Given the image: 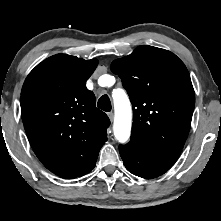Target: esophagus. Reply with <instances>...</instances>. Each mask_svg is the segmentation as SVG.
Segmentation results:
<instances>
[{"instance_id": "obj_1", "label": "esophagus", "mask_w": 221, "mask_h": 221, "mask_svg": "<svg viewBox=\"0 0 221 221\" xmlns=\"http://www.w3.org/2000/svg\"><path fill=\"white\" fill-rule=\"evenodd\" d=\"M107 115H108L110 121L112 122L113 119H114V114H113V112H108Z\"/></svg>"}]
</instances>
